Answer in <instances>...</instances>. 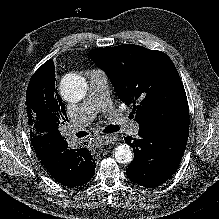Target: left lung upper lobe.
Wrapping results in <instances>:
<instances>
[{
  "label": "left lung upper lobe",
  "instance_id": "5c2ea615",
  "mask_svg": "<svg viewBox=\"0 0 219 219\" xmlns=\"http://www.w3.org/2000/svg\"><path fill=\"white\" fill-rule=\"evenodd\" d=\"M89 57L106 72L120 100L133 105L139 132L187 142V97L178 71L165 53L122 44L91 50Z\"/></svg>",
  "mask_w": 219,
  "mask_h": 219
}]
</instances>
